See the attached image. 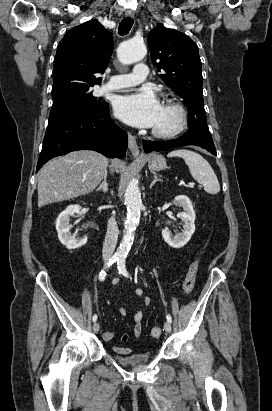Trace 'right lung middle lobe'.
<instances>
[{
	"mask_svg": "<svg viewBox=\"0 0 272 411\" xmlns=\"http://www.w3.org/2000/svg\"><path fill=\"white\" fill-rule=\"evenodd\" d=\"M105 104L92 95L91 88L71 92L64 98L53 100L49 122L72 113L99 110Z\"/></svg>",
	"mask_w": 272,
	"mask_h": 411,
	"instance_id": "dd1d6c3e",
	"label": "right lung middle lobe"
}]
</instances>
